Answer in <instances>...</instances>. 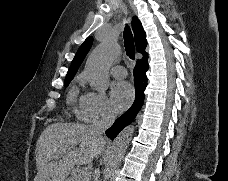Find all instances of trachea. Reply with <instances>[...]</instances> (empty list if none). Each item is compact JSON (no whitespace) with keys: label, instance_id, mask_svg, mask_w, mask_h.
<instances>
[{"label":"trachea","instance_id":"trachea-1","mask_svg":"<svg viewBox=\"0 0 228 181\" xmlns=\"http://www.w3.org/2000/svg\"><path fill=\"white\" fill-rule=\"evenodd\" d=\"M124 46L127 56L130 58V60L135 59V46H134V40L133 35L130 30V27L126 24L125 30H124Z\"/></svg>","mask_w":228,"mask_h":181}]
</instances>
